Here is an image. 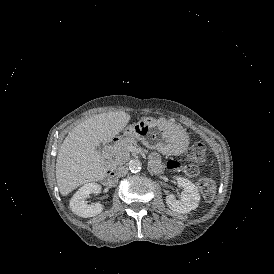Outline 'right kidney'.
I'll use <instances>...</instances> for the list:
<instances>
[{
	"instance_id": "ca27d5eb",
	"label": "right kidney",
	"mask_w": 274,
	"mask_h": 274,
	"mask_svg": "<svg viewBox=\"0 0 274 274\" xmlns=\"http://www.w3.org/2000/svg\"><path fill=\"white\" fill-rule=\"evenodd\" d=\"M101 191L102 186L94 182L87 183L81 187L70 200V208L73 213L79 217L88 218L102 212V205L100 203H94L91 206H88L85 202V199L90 194H100Z\"/></svg>"
}]
</instances>
